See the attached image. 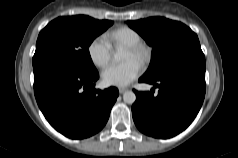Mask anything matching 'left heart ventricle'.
I'll list each match as a JSON object with an SVG mask.
<instances>
[{
  "label": "left heart ventricle",
  "mask_w": 238,
  "mask_h": 158,
  "mask_svg": "<svg viewBox=\"0 0 238 158\" xmlns=\"http://www.w3.org/2000/svg\"><path fill=\"white\" fill-rule=\"evenodd\" d=\"M123 59H124L125 61L130 60V59L136 60V59L134 58V56L132 55V53H131L130 51H128V50L125 51V54H124Z\"/></svg>",
  "instance_id": "1"
}]
</instances>
